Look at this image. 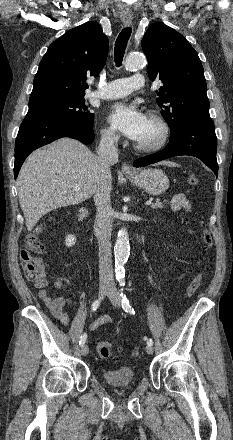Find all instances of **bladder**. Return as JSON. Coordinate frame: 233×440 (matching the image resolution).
<instances>
[{"instance_id": "obj_1", "label": "bladder", "mask_w": 233, "mask_h": 440, "mask_svg": "<svg viewBox=\"0 0 233 440\" xmlns=\"http://www.w3.org/2000/svg\"><path fill=\"white\" fill-rule=\"evenodd\" d=\"M103 378L107 384L114 387L127 386L134 381V371L129 367L106 370L103 372Z\"/></svg>"}]
</instances>
